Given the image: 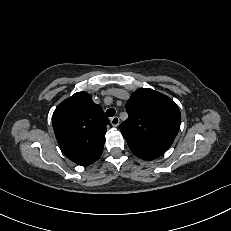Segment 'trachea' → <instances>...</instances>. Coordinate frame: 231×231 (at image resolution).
Returning <instances> with one entry per match:
<instances>
[{"label": "trachea", "instance_id": "trachea-1", "mask_svg": "<svg viewBox=\"0 0 231 231\" xmlns=\"http://www.w3.org/2000/svg\"><path fill=\"white\" fill-rule=\"evenodd\" d=\"M115 113H116V111H115V109H113V108H109V109L106 111V115H107L108 117H113V116L115 115Z\"/></svg>", "mask_w": 231, "mask_h": 231}]
</instances>
